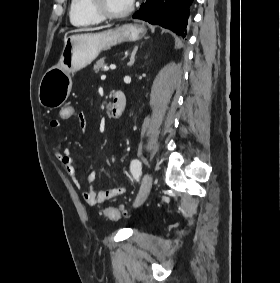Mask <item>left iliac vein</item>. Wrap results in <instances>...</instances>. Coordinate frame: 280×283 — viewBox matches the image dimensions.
I'll list each match as a JSON object with an SVG mask.
<instances>
[{"mask_svg": "<svg viewBox=\"0 0 280 283\" xmlns=\"http://www.w3.org/2000/svg\"><path fill=\"white\" fill-rule=\"evenodd\" d=\"M151 187H152V176L150 173H146L143 176L142 187L134 201L133 204L134 207L140 206L145 201L146 197L150 193Z\"/></svg>", "mask_w": 280, "mask_h": 283, "instance_id": "obj_1", "label": "left iliac vein"}]
</instances>
